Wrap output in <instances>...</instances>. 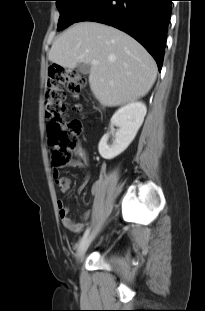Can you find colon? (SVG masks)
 <instances>
[{
    "instance_id": "5ec220e1",
    "label": "colon",
    "mask_w": 205,
    "mask_h": 311,
    "mask_svg": "<svg viewBox=\"0 0 205 311\" xmlns=\"http://www.w3.org/2000/svg\"><path fill=\"white\" fill-rule=\"evenodd\" d=\"M85 81L72 71L53 66L48 69L44 99L47 136L52 147V165L56 168L70 162L73 152L80 146L83 124L78 119H66L64 100L66 93L79 94ZM80 110L79 106H76Z\"/></svg>"
}]
</instances>
